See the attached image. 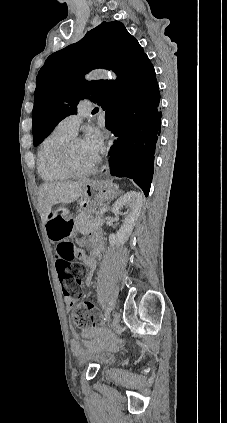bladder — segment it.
Returning <instances> with one entry per match:
<instances>
[{
    "mask_svg": "<svg viewBox=\"0 0 227 423\" xmlns=\"http://www.w3.org/2000/svg\"><path fill=\"white\" fill-rule=\"evenodd\" d=\"M116 360V355L104 350H95L84 358V362H95L100 369L115 364Z\"/></svg>",
    "mask_w": 227,
    "mask_h": 423,
    "instance_id": "1",
    "label": "bladder"
}]
</instances>
